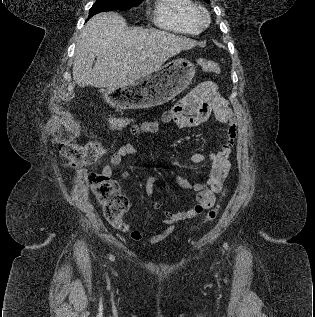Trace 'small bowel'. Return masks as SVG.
<instances>
[{"mask_svg":"<svg viewBox=\"0 0 315 317\" xmlns=\"http://www.w3.org/2000/svg\"><path fill=\"white\" fill-rule=\"evenodd\" d=\"M212 115L226 126V139L221 149L209 154L193 153L191 155V161L195 164L205 161L211 163L208 180L204 184L190 183L182 176H175L178 185L197 193V202L188 210L165 212L163 223L166 227L162 232L147 239V243L150 245L166 239L174 231L177 222L194 218L214 205L216 195L221 190L222 182L231 167L229 157L236 139L237 122L229 104L219 95L216 83L208 81L199 84L192 92L178 101L172 108L162 112L158 117L144 121L141 124H134L130 128L133 135L142 136L156 133L162 124L169 122H174L182 129L197 127L206 122ZM139 152V146L131 143L123 144L111 155L109 164L103 167L102 172L112 176L113 168L119 166L125 157L136 155ZM156 183L155 177H149L145 184V192L153 208L159 209V202L153 199ZM122 230L129 232L131 239L134 241L143 240L142 232L132 229L128 224H124Z\"/></svg>","mask_w":315,"mask_h":317,"instance_id":"obj_1","label":"small bowel"}]
</instances>
